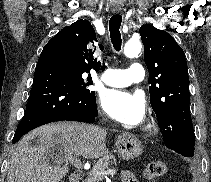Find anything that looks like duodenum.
<instances>
[{"mask_svg":"<svg viewBox=\"0 0 211 182\" xmlns=\"http://www.w3.org/2000/svg\"><path fill=\"white\" fill-rule=\"evenodd\" d=\"M69 182H81V175L79 173H73L69 177Z\"/></svg>","mask_w":211,"mask_h":182,"instance_id":"410a0bca","label":"duodenum"}]
</instances>
